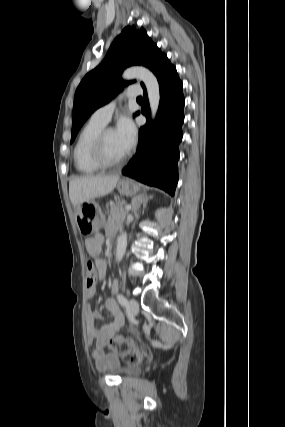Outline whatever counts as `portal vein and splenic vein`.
Wrapping results in <instances>:
<instances>
[{"label":"portal vein and splenic vein","instance_id":"18ae733b","mask_svg":"<svg viewBox=\"0 0 285 427\" xmlns=\"http://www.w3.org/2000/svg\"><path fill=\"white\" fill-rule=\"evenodd\" d=\"M125 209H126V210H130V209H131V206H130V205H126V206H125Z\"/></svg>","mask_w":285,"mask_h":427}]
</instances>
